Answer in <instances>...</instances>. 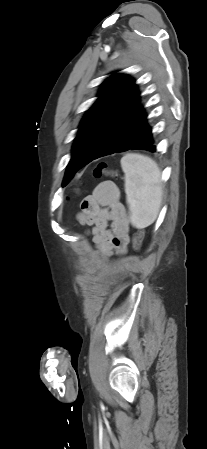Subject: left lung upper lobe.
I'll use <instances>...</instances> for the list:
<instances>
[{
  "mask_svg": "<svg viewBox=\"0 0 207 449\" xmlns=\"http://www.w3.org/2000/svg\"><path fill=\"white\" fill-rule=\"evenodd\" d=\"M139 104L137 86L128 76L112 75L104 81L98 100L82 119L63 186L93 160L109 133Z\"/></svg>",
  "mask_w": 207,
  "mask_h": 449,
  "instance_id": "5c2ea615",
  "label": "left lung upper lobe"
}]
</instances>
